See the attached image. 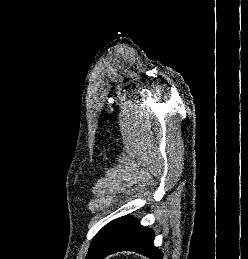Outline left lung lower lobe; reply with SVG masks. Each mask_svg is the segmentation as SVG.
Returning <instances> with one entry per match:
<instances>
[{
	"label": "left lung lower lobe",
	"instance_id": "obj_1",
	"mask_svg": "<svg viewBox=\"0 0 248 259\" xmlns=\"http://www.w3.org/2000/svg\"><path fill=\"white\" fill-rule=\"evenodd\" d=\"M152 230L135 219L122 217L104 226L94 237L87 259H103L117 251H136L151 259H162V252L153 244Z\"/></svg>",
	"mask_w": 248,
	"mask_h": 259
}]
</instances>
